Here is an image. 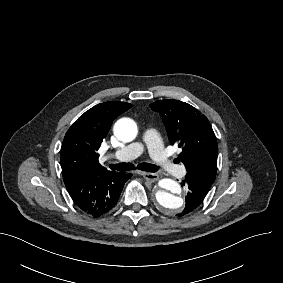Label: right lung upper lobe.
Returning a JSON list of instances; mask_svg holds the SVG:
<instances>
[{
  "instance_id": "right-lung-upper-lobe-1",
  "label": "right lung upper lobe",
  "mask_w": 283,
  "mask_h": 283,
  "mask_svg": "<svg viewBox=\"0 0 283 283\" xmlns=\"http://www.w3.org/2000/svg\"><path fill=\"white\" fill-rule=\"evenodd\" d=\"M131 107L132 104L119 101L98 104L69 128L61 148L64 182L80 174L108 171L99 164L97 151L113 120Z\"/></svg>"
}]
</instances>
